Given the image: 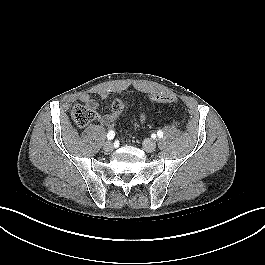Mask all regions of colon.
I'll return each instance as SVG.
<instances>
[{
	"instance_id": "5ec220e1",
	"label": "colon",
	"mask_w": 265,
	"mask_h": 265,
	"mask_svg": "<svg viewBox=\"0 0 265 265\" xmlns=\"http://www.w3.org/2000/svg\"><path fill=\"white\" fill-rule=\"evenodd\" d=\"M154 98L157 99L158 97L153 96V99ZM159 99L162 103H176L175 98L168 95L161 96ZM126 106L127 101L121 99L115 100L111 106V117H119L125 110ZM71 115L74 122L79 127H84L94 120L96 116L95 107L90 104H77L73 107Z\"/></svg>"
}]
</instances>
